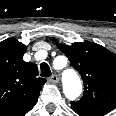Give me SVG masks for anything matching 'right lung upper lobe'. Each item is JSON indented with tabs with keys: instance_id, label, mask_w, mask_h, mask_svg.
<instances>
[{
	"instance_id": "obj_1",
	"label": "right lung upper lobe",
	"mask_w": 116,
	"mask_h": 116,
	"mask_svg": "<svg viewBox=\"0 0 116 116\" xmlns=\"http://www.w3.org/2000/svg\"><path fill=\"white\" fill-rule=\"evenodd\" d=\"M26 46L16 39L0 42V116H23L36 104L46 79L36 64L23 61Z\"/></svg>"
}]
</instances>
